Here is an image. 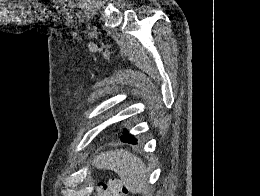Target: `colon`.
I'll return each instance as SVG.
<instances>
[{
	"instance_id": "5ec220e1",
	"label": "colon",
	"mask_w": 260,
	"mask_h": 196,
	"mask_svg": "<svg viewBox=\"0 0 260 196\" xmlns=\"http://www.w3.org/2000/svg\"><path fill=\"white\" fill-rule=\"evenodd\" d=\"M111 195H115L114 193L110 192Z\"/></svg>"
}]
</instances>
